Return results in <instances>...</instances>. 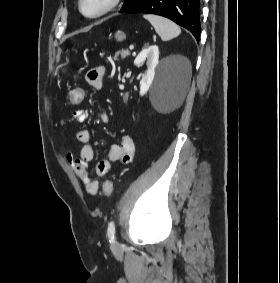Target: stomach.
I'll list each match as a JSON object with an SVG mask.
<instances>
[{"label": "stomach", "instance_id": "obj_1", "mask_svg": "<svg viewBox=\"0 0 280 283\" xmlns=\"http://www.w3.org/2000/svg\"><path fill=\"white\" fill-rule=\"evenodd\" d=\"M115 39H116L118 42H121V41H123V40L126 39V35H125V33H123L122 31H117V32L115 33ZM66 64H67V63L62 64L61 67L66 66Z\"/></svg>", "mask_w": 280, "mask_h": 283}]
</instances>
